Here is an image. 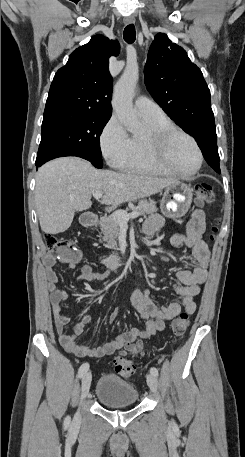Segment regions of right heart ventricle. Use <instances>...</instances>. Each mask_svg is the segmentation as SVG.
I'll list each match as a JSON object with an SVG mask.
<instances>
[{
    "instance_id": "right-heart-ventricle-1",
    "label": "right heart ventricle",
    "mask_w": 245,
    "mask_h": 457,
    "mask_svg": "<svg viewBox=\"0 0 245 457\" xmlns=\"http://www.w3.org/2000/svg\"><path fill=\"white\" fill-rule=\"evenodd\" d=\"M146 124L149 128L158 126H174V123L167 118L165 115L156 118L145 119ZM141 137L132 136L131 143L128 152L124 157L116 162V166L123 170H137L146 172H157L152 166H150L141 154Z\"/></svg>"
}]
</instances>
